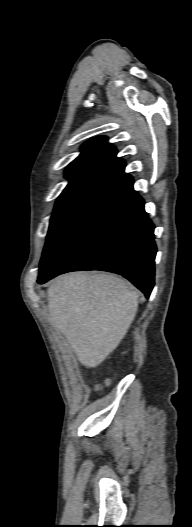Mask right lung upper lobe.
<instances>
[{
    "mask_svg": "<svg viewBox=\"0 0 192 527\" xmlns=\"http://www.w3.org/2000/svg\"><path fill=\"white\" fill-rule=\"evenodd\" d=\"M81 148V154L65 170L68 185L84 181L107 183L124 171L125 162L116 157L117 151L106 137L90 139Z\"/></svg>",
    "mask_w": 192,
    "mask_h": 527,
    "instance_id": "1",
    "label": "right lung upper lobe"
}]
</instances>
